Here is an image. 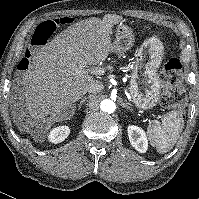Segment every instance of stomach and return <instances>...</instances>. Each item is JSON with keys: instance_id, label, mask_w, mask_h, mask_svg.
Returning a JSON list of instances; mask_svg holds the SVG:
<instances>
[{"instance_id": "obj_1", "label": "stomach", "mask_w": 199, "mask_h": 199, "mask_svg": "<svg viewBox=\"0 0 199 199\" xmlns=\"http://www.w3.org/2000/svg\"><path fill=\"white\" fill-rule=\"evenodd\" d=\"M114 34V52L123 53L133 46L134 33L131 27L120 23ZM163 55L162 41L156 36L148 37L136 49L130 76V93L135 105L140 109H151L160 100L162 81L157 70Z\"/></svg>"}]
</instances>
